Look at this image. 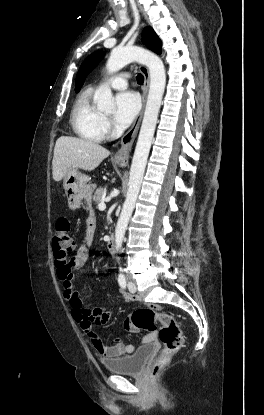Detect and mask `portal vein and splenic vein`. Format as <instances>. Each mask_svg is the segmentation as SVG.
Listing matches in <instances>:
<instances>
[{
  "label": "portal vein and splenic vein",
  "mask_w": 264,
  "mask_h": 415,
  "mask_svg": "<svg viewBox=\"0 0 264 415\" xmlns=\"http://www.w3.org/2000/svg\"><path fill=\"white\" fill-rule=\"evenodd\" d=\"M98 209H99L100 211L105 210V209H106V204H105L104 202L99 203V205H98Z\"/></svg>",
  "instance_id": "portal-vein-and-splenic-vein-1"
}]
</instances>
